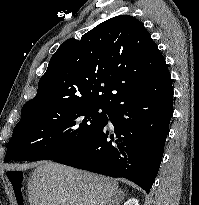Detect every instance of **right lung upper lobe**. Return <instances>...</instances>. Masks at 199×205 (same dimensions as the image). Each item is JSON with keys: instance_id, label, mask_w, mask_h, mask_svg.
I'll return each mask as SVG.
<instances>
[{"instance_id": "1", "label": "right lung upper lobe", "mask_w": 199, "mask_h": 205, "mask_svg": "<svg viewBox=\"0 0 199 205\" xmlns=\"http://www.w3.org/2000/svg\"><path fill=\"white\" fill-rule=\"evenodd\" d=\"M169 73L144 25L135 17L108 19L81 40H66L53 54L28 105L56 102L109 108L139 92L142 81Z\"/></svg>"}]
</instances>
